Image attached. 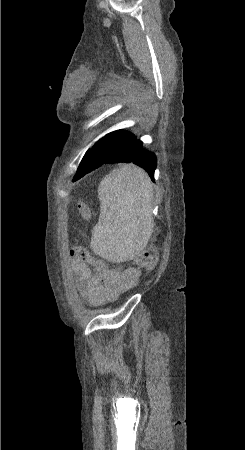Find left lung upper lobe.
<instances>
[{
  "label": "left lung upper lobe",
  "mask_w": 245,
  "mask_h": 450,
  "mask_svg": "<svg viewBox=\"0 0 245 450\" xmlns=\"http://www.w3.org/2000/svg\"><path fill=\"white\" fill-rule=\"evenodd\" d=\"M134 138H135V136H133L129 132L117 130V131H113V132L105 135L103 138L98 140L92 148H94L96 146H99V148L100 147L116 148V147L123 146L124 144L130 142ZM95 152L96 151L91 153L89 156H87V153L85 154V156L83 157V159L79 165L76 175L81 172L86 171L89 168H92L93 166H95L96 164L99 163L101 156L96 155Z\"/></svg>",
  "instance_id": "obj_1"
}]
</instances>
